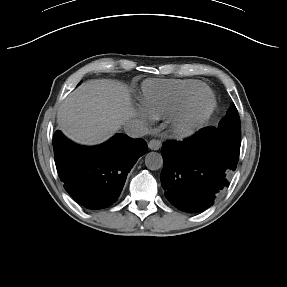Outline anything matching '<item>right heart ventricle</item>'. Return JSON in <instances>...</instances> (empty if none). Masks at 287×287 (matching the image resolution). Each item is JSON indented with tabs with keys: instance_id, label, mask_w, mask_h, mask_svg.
Masks as SVG:
<instances>
[{
	"instance_id": "1",
	"label": "right heart ventricle",
	"mask_w": 287,
	"mask_h": 287,
	"mask_svg": "<svg viewBox=\"0 0 287 287\" xmlns=\"http://www.w3.org/2000/svg\"><path fill=\"white\" fill-rule=\"evenodd\" d=\"M198 80H146L142 84L141 103L152 118L171 117L192 93L206 88Z\"/></svg>"
}]
</instances>
